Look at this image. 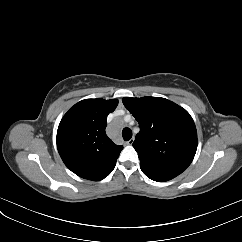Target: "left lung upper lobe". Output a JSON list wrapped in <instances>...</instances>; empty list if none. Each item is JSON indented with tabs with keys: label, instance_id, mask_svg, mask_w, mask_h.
Masks as SVG:
<instances>
[{
	"label": "left lung upper lobe",
	"instance_id": "5c2ea615",
	"mask_svg": "<svg viewBox=\"0 0 242 242\" xmlns=\"http://www.w3.org/2000/svg\"><path fill=\"white\" fill-rule=\"evenodd\" d=\"M122 102L140 126L133 147L143 173L154 179L181 174L197 150V131L190 114L165 98L125 97Z\"/></svg>",
	"mask_w": 242,
	"mask_h": 242
}]
</instances>
